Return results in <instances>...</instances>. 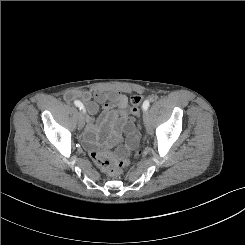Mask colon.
I'll use <instances>...</instances> for the list:
<instances>
[{
    "label": "colon",
    "instance_id": "obj_1",
    "mask_svg": "<svg viewBox=\"0 0 245 245\" xmlns=\"http://www.w3.org/2000/svg\"><path fill=\"white\" fill-rule=\"evenodd\" d=\"M144 97L142 95H134L131 97V113L135 117H139L140 115V105L143 101ZM140 127V125H138ZM141 154V150L139 147H135L133 150V156L136 158ZM93 161L106 173L111 176H118L122 173L123 169L127 167L131 161L126 158L122 159H110L104 156L98 150H92L90 153Z\"/></svg>",
    "mask_w": 245,
    "mask_h": 245
}]
</instances>
